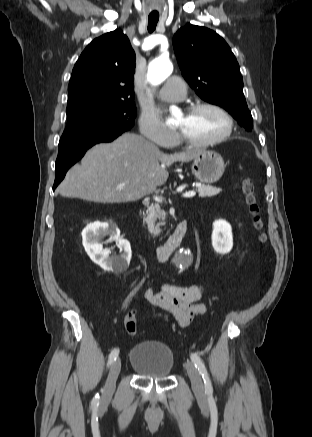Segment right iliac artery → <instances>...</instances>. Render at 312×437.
<instances>
[{"label":"right iliac artery","instance_id":"obj_1","mask_svg":"<svg viewBox=\"0 0 312 437\" xmlns=\"http://www.w3.org/2000/svg\"><path fill=\"white\" fill-rule=\"evenodd\" d=\"M118 355H119L118 348H115L111 351L108 359V366L111 365L114 361H116ZM99 398H100L99 394H96L95 397L93 398V403L97 405L99 403Z\"/></svg>","mask_w":312,"mask_h":437}]
</instances>
